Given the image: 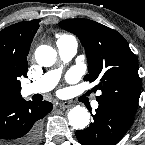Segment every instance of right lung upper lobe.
<instances>
[{
	"mask_svg": "<svg viewBox=\"0 0 145 145\" xmlns=\"http://www.w3.org/2000/svg\"><path fill=\"white\" fill-rule=\"evenodd\" d=\"M39 20L24 21L0 31V68L8 71L14 80L11 98L20 97L19 77L27 73V58Z\"/></svg>",
	"mask_w": 145,
	"mask_h": 145,
	"instance_id": "right-lung-upper-lobe-1",
	"label": "right lung upper lobe"
}]
</instances>
